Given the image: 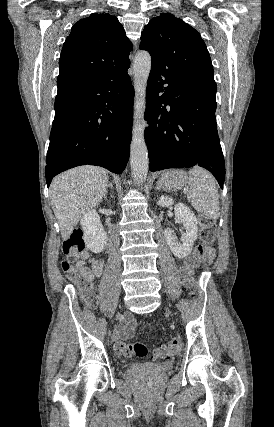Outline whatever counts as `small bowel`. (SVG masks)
Segmentation results:
<instances>
[{
	"label": "small bowel",
	"mask_w": 274,
	"mask_h": 427,
	"mask_svg": "<svg viewBox=\"0 0 274 427\" xmlns=\"http://www.w3.org/2000/svg\"><path fill=\"white\" fill-rule=\"evenodd\" d=\"M104 265V260L101 257H92L91 253L87 250H84L80 254V259L77 263L79 270L90 281H95L101 277ZM135 324V318L127 316L123 327L115 334V341L133 337Z\"/></svg>",
	"instance_id": "small-bowel-1"
}]
</instances>
